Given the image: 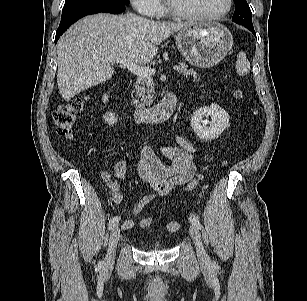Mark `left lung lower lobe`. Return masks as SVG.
<instances>
[{"label":"left lung lower lobe","instance_id":"obj_1","mask_svg":"<svg viewBox=\"0 0 307 301\" xmlns=\"http://www.w3.org/2000/svg\"><path fill=\"white\" fill-rule=\"evenodd\" d=\"M245 27L248 28L256 36L253 26H245Z\"/></svg>","mask_w":307,"mask_h":301}]
</instances>
